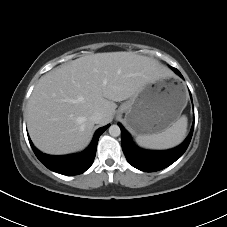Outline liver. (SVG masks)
<instances>
[{
  "mask_svg": "<svg viewBox=\"0 0 227 227\" xmlns=\"http://www.w3.org/2000/svg\"><path fill=\"white\" fill-rule=\"evenodd\" d=\"M168 75L157 60L133 52L86 55L44 75L28 103L27 126L34 145L47 154L84 149L91 141L90 117L112 121L117 105L150 82Z\"/></svg>",
  "mask_w": 227,
  "mask_h": 227,
  "instance_id": "obj_1",
  "label": "liver"
}]
</instances>
